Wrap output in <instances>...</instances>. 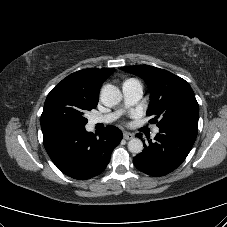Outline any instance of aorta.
<instances>
[{
    "label": "aorta",
    "mask_w": 227,
    "mask_h": 227,
    "mask_svg": "<svg viewBox=\"0 0 227 227\" xmlns=\"http://www.w3.org/2000/svg\"><path fill=\"white\" fill-rule=\"evenodd\" d=\"M122 99L121 91L114 85L107 84L101 90V101L107 107L117 105ZM131 153L139 154L143 151V143L139 138H133L128 142Z\"/></svg>",
    "instance_id": "762f6f07"
}]
</instances>
